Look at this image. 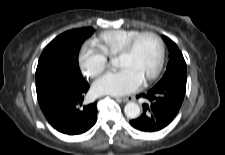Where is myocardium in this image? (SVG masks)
I'll use <instances>...</instances> for the list:
<instances>
[{
  "label": "myocardium",
  "instance_id": "myocardium-1",
  "mask_svg": "<svg viewBox=\"0 0 225 155\" xmlns=\"http://www.w3.org/2000/svg\"><path fill=\"white\" fill-rule=\"evenodd\" d=\"M145 36H150V37L154 38L158 44L157 63H156L154 70L152 71V73L143 80V83L146 84V83L153 81L159 75V73L162 69V66H163V62H164L165 46H164V42H163L162 38L158 34L151 32V31H144V32H140V33L136 34L135 36H133L132 38H130L127 41V43L124 45V47L117 54V57L127 56V55L131 54L135 45L137 44V42Z\"/></svg>",
  "mask_w": 225,
  "mask_h": 155
}]
</instances>
